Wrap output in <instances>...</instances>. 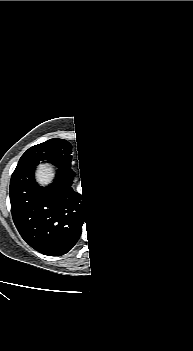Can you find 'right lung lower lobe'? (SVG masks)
Returning <instances> with one entry per match:
<instances>
[{
  "instance_id": "1",
  "label": "right lung lower lobe",
  "mask_w": 193,
  "mask_h": 351,
  "mask_svg": "<svg viewBox=\"0 0 193 351\" xmlns=\"http://www.w3.org/2000/svg\"><path fill=\"white\" fill-rule=\"evenodd\" d=\"M39 162L19 161L10 182L13 221L23 239L38 252L49 256L66 254L78 241L83 223L98 206V190L74 192V171L55 164L58 176L52 186L42 188L34 180ZM81 178L84 179L81 172Z\"/></svg>"
}]
</instances>
